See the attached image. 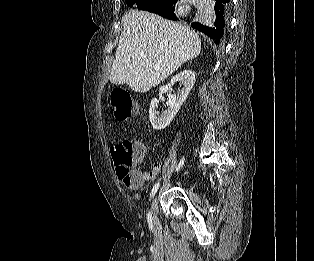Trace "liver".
Wrapping results in <instances>:
<instances>
[{
  "label": "liver",
  "mask_w": 314,
  "mask_h": 261,
  "mask_svg": "<svg viewBox=\"0 0 314 261\" xmlns=\"http://www.w3.org/2000/svg\"><path fill=\"white\" fill-rule=\"evenodd\" d=\"M122 23L110 81L126 83L135 92H148L200 54V37L184 25L135 9L124 14Z\"/></svg>",
  "instance_id": "liver-1"
}]
</instances>
